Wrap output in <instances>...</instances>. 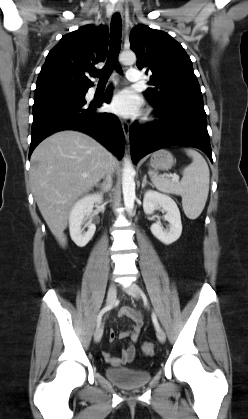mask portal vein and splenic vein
<instances>
[{"label":"portal vein and splenic vein","mask_w":248,"mask_h":419,"mask_svg":"<svg viewBox=\"0 0 248 419\" xmlns=\"http://www.w3.org/2000/svg\"><path fill=\"white\" fill-rule=\"evenodd\" d=\"M172 178H173V180H174V181H176V182L179 180V176H178V175H176V174L172 175Z\"/></svg>","instance_id":"obj_1"}]
</instances>
